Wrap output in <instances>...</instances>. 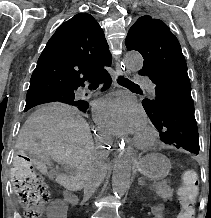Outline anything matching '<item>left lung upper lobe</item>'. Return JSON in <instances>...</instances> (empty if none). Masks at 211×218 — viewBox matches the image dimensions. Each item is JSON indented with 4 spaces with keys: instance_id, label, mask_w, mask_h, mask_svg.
<instances>
[{
    "instance_id": "obj_1",
    "label": "left lung upper lobe",
    "mask_w": 211,
    "mask_h": 218,
    "mask_svg": "<svg viewBox=\"0 0 211 218\" xmlns=\"http://www.w3.org/2000/svg\"><path fill=\"white\" fill-rule=\"evenodd\" d=\"M128 50L144 58L139 75L155 85V96L142 105L169 145L198 154L199 136L187 64L176 36L159 19L145 15L130 28L125 41Z\"/></svg>"
}]
</instances>
